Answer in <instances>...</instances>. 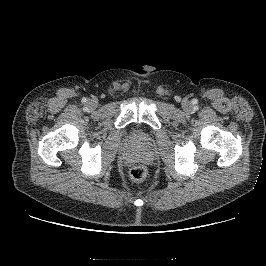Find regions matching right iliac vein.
<instances>
[{"label": "right iliac vein", "instance_id": "right-iliac-vein-1", "mask_svg": "<svg viewBox=\"0 0 266 266\" xmlns=\"http://www.w3.org/2000/svg\"><path fill=\"white\" fill-rule=\"evenodd\" d=\"M89 108L95 109L97 107V102L95 100H91L88 102Z\"/></svg>", "mask_w": 266, "mask_h": 266}]
</instances>
